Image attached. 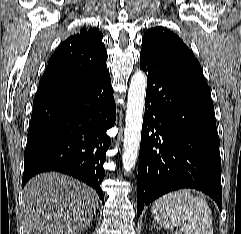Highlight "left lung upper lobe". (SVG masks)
Masks as SVG:
<instances>
[{"label": "left lung upper lobe", "mask_w": 241, "mask_h": 234, "mask_svg": "<svg viewBox=\"0 0 241 234\" xmlns=\"http://www.w3.org/2000/svg\"><path fill=\"white\" fill-rule=\"evenodd\" d=\"M140 54L171 72L207 84L198 60L184 42L167 28L155 27L147 30Z\"/></svg>", "instance_id": "obj_1"}]
</instances>
